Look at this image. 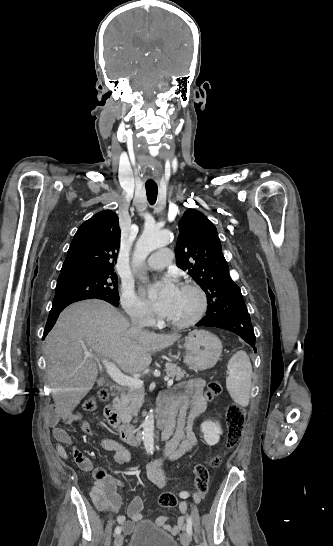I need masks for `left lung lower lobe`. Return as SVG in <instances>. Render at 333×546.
<instances>
[{"instance_id":"1","label":"left lung lower lobe","mask_w":333,"mask_h":546,"mask_svg":"<svg viewBox=\"0 0 333 546\" xmlns=\"http://www.w3.org/2000/svg\"><path fill=\"white\" fill-rule=\"evenodd\" d=\"M197 326L218 327L234 332L251 345L256 352V337L246 306L237 309H226L221 314H208L197 323Z\"/></svg>"}]
</instances>
